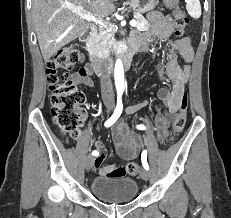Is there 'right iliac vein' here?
<instances>
[{
  "label": "right iliac vein",
  "mask_w": 231,
  "mask_h": 218,
  "mask_svg": "<svg viewBox=\"0 0 231 218\" xmlns=\"http://www.w3.org/2000/svg\"><path fill=\"white\" fill-rule=\"evenodd\" d=\"M110 109L111 107H108V110ZM93 163H94V157L92 155H88L85 161V168L87 171H89L92 168Z\"/></svg>",
  "instance_id": "obj_1"
}]
</instances>
